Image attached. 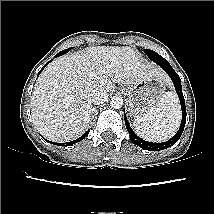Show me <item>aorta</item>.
<instances>
[{
  "label": "aorta",
  "mask_w": 214,
  "mask_h": 214,
  "mask_svg": "<svg viewBox=\"0 0 214 214\" xmlns=\"http://www.w3.org/2000/svg\"><path fill=\"white\" fill-rule=\"evenodd\" d=\"M110 105L114 109H120L123 106V99L119 96H113Z\"/></svg>",
  "instance_id": "762f6f07"
}]
</instances>
